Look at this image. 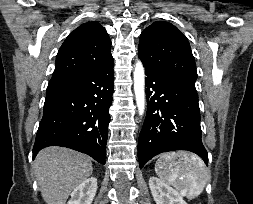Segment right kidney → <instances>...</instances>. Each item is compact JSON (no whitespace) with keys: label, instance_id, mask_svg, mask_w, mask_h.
<instances>
[{"label":"right kidney","instance_id":"1","mask_svg":"<svg viewBox=\"0 0 253 204\" xmlns=\"http://www.w3.org/2000/svg\"><path fill=\"white\" fill-rule=\"evenodd\" d=\"M97 191V179L91 177L78 185L67 204H92Z\"/></svg>","mask_w":253,"mask_h":204}]
</instances>
